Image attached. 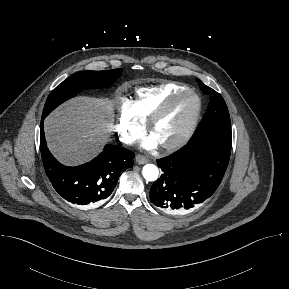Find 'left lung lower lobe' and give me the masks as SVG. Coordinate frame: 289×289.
Returning a JSON list of instances; mask_svg holds the SVG:
<instances>
[{
    "instance_id": "obj_1",
    "label": "left lung lower lobe",
    "mask_w": 289,
    "mask_h": 289,
    "mask_svg": "<svg viewBox=\"0 0 289 289\" xmlns=\"http://www.w3.org/2000/svg\"><path fill=\"white\" fill-rule=\"evenodd\" d=\"M231 137L191 139L174 154L157 160L163 173L150 189L151 202L169 213H186L212 196L227 169Z\"/></svg>"
}]
</instances>
